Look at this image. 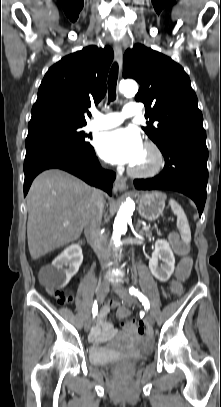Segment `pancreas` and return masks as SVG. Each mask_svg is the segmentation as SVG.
Returning a JSON list of instances; mask_svg holds the SVG:
<instances>
[{
  "mask_svg": "<svg viewBox=\"0 0 221 407\" xmlns=\"http://www.w3.org/2000/svg\"><path fill=\"white\" fill-rule=\"evenodd\" d=\"M145 235L147 237H150L152 235L151 231L149 229L145 230Z\"/></svg>",
  "mask_w": 221,
  "mask_h": 407,
  "instance_id": "obj_1",
  "label": "pancreas"
}]
</instances>
